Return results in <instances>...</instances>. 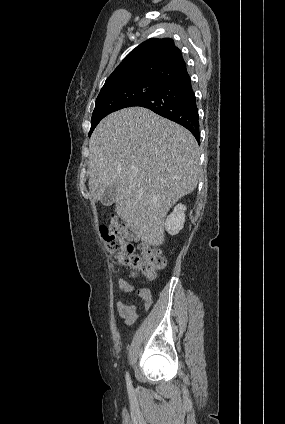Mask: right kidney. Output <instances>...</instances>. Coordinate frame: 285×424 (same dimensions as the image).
Listing matches in <instances>:
<instances>
[{
  "mask_svg": "<svg viewBox=\"0 0 285 424\" xmlns=\"http://www.w3.org/2000/svg\"><path fill=\"white\" fill-rule=\"evenodd\" d=\"M186 206L179 203L177 204L173 212L167 217L165 222V228L171 235H176L183 228L185 222Z\"/></svg>",
  "mask_w": 285,
  "mask_h": 424,
  "instance_id": "1",
  "label": "right kidney"
}]
</instances>
